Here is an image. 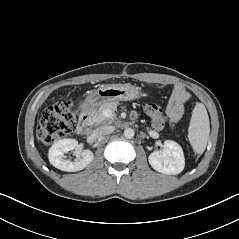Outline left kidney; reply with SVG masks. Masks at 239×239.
Masks as SVG:
<instances>
[{"instance_id":"left-kidney-1","label":"left kidney","mask_w":239,"mask_h":239,"mask_svg":"<svg viewBox=\"0 0 239 239\" xmlns=\"http://www.w3.org/2000/svg\"><path fill=\"white\" fill-rule=\"evenodd\" d=\"M148 159L153 169L168 175L179 174L185 166L183 150L172 140H166L163 149L154 151Z\"/></svg>"}]
</instances>
